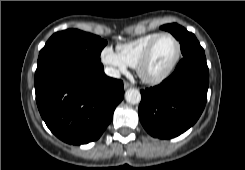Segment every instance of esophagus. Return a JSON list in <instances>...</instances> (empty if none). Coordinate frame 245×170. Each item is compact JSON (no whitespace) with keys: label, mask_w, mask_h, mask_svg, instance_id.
Returning a JSON list of instances; mask_svg holds the SVG:
<instances>
[{"label":"esophagus","mask_w":245,"mask_h":170,"mask_svg":"<svg viewBox=\"0 0 245 170\" xmlns=\"http://www.w3.org/2000/svg\"><path fill=\"white\" fill-rule=\"evenodd\" d=\"M130 86H131L130 83L124 82V89H128Z\"/></svg>","instance_id":"34e87169"}]
</instances>
